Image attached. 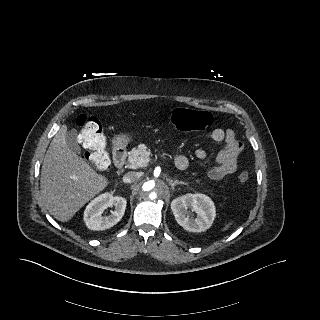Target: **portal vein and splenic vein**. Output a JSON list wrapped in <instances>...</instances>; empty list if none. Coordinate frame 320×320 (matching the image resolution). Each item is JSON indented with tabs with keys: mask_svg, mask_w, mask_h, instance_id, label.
I'll list each match as a JSON object with an SVG mask.
<instances>
[{
	"mask_svg": "<svg viewBox=\"0 0 320 320\" xmlns=\"http://www.w3.org/2000/svg\"><path fill=\"white\" fill-rule=\"evenodd\" d=\"M142 162H149V158L146 160L142 159Z\"/></svg>",
	"mask_w": 320,
	"mask_h": 320,
	"instance_id": "portal-vein-and-splenic-vein-1",
	"label": "portal vein and splenic vein"
}]
</instances>
